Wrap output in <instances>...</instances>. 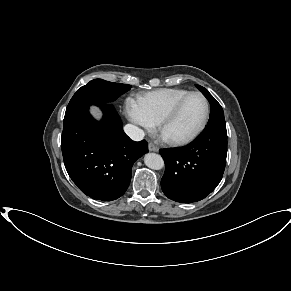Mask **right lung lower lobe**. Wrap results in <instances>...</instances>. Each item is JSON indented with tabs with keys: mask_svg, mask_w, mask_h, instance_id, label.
<instances>
[{
	"mask_svg": "<svg viewBox=\"0 0 291 291\" xmlns=\"http://www.w3.org/2000/svg\"><path fill=\"white\" fill-rule=\"evenodd\" d=\"M103 118L96 121L89 112L79 120H65L61 148L66 170L87 196L112 201L127 190L132 165L148 152V143L132 141L122 130L114 107H101Z\"/></svg>",
	"mask_w": 291,
	"mask_h": 291,
	"instance_id": "1",
	"label": "right lung lower lobe"
}]
</instances>
